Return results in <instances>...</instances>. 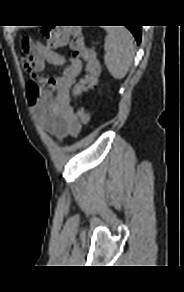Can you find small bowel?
<instances>
[{
  "label": "small bowel",
  "instance_id": "c3829d8e",
  "mask_svg": "<svg viewBox=\"0 0 184 292\" xmlns=\"http://www.w3.org/2000/svg\"><path fill=\"white\" fill-rule=\"evenodd\" d=\"M24 50L25 67L32 75L27 82V100L39 123L58 140L76 136L80 131V122L70 105L69 90L79 79L83 62L36 42L24 44ZM46 63L63 67L64 70L58 76L37 77L36 74L44 70Z\"/></svg>",
  "mask_w": 184,
  "mask_h": 292
}]
</instances>
